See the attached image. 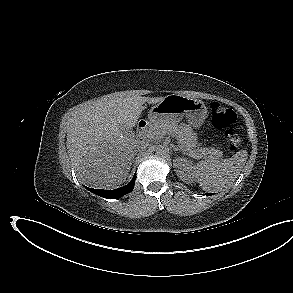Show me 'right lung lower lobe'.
<instances>
[{
	"label": "right lung lower lobe",
	"instance_id": "98d812e1",
	"mask_svg": "<svg viewBox=\"0 0 293 293\" xmlns=\"http://www.w3.org/2000/svg\"><path fill=\"white\" fill-rule=\"evenodd\" d=\"M135 184V177L130 181L129 184H127L124 187L118 188V189H114V190H103V189H93V188H88V190H90L91 192L104 197V198H108V199H117L120 198L121 196L129 193L132 191L133 187Z\"/></svg>",
	"mask_w": 293,
	"mask_h": 293
}]
</instances>
